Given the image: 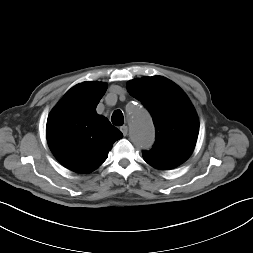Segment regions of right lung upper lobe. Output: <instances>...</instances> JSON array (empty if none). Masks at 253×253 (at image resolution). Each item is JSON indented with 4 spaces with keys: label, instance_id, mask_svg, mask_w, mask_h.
I'll return each instance as SVG.
<instances>
[{
    "label": "right lung upper lobe",
    "instance_id": "obj_1",
    "mask_svg": "<svg viewBox=\"0 0 253 253\" xmlns=\"http://www.w3.org/2000/svg\"><path fill=\"white\" fill-rule=\"evenodd\" d=\"M102 82H82L72 87L51 111L46 126L49 147L66 168L89 173L107 158L113 143L123 134L107 118L96 113L105 94Z\"/></svg>",
    "mask_w": 253,
    "mask_h": 253
}]
</instances>
